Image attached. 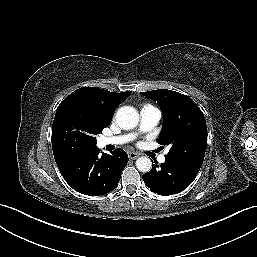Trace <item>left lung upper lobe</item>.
<instances>
[{
	"mask_svg": "<svg viewBox=\"0 0 257 257\" xmlns=\"http://www.w3.org/2000/svg\"><path fill=\"white\" fill-rule=\"evenodd\" d=\"M141 94L157 101L162 109L164 122L158 143L171 146L167 156L202 165L207 146V126L196 103L184 94L167 89Z\"/></svg>",
	"mask_w": 257,
	"mask_h": 257,
	"instance_id": "5c2ea615",
	"label": "left lung upper lobe"
}]
</instances>
